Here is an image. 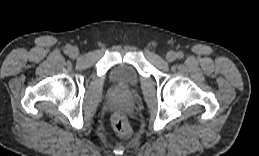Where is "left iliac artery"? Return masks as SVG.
<instances>
[{
	"label": "left iliac artery",
	"instance_id": "left-iliac-artery-1",
	"mask_svg": "<svg viewBox=\"0 0 259 156\" xmlns=\"http://www.w3.org/2000/svg\"><path fill=\"white\" fill-rule=\"evenodd\" d=\"M177 57H178V59L183 58V53H182V52H178V53H177Z\"/></svg>",
	"mask_w": 259,
	"mask_h": 156
}]
</instances>
